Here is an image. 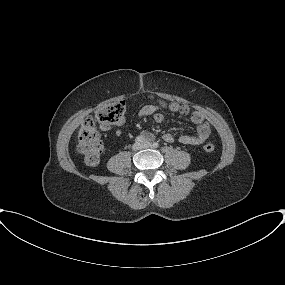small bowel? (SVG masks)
<instances>
[{"instance_id": "1", "label": "small bowel", "mask_w": 285, "mask_h": 285, "mask_svg": "<svg viewBox=\"0 0 285 285\" xmlns=\"http://www.w3.org/2000/svg\"><path fill=\"white\" fill-rule=\"evenodd\" d=\"M139 117H152L156 123H162L165 118V114L162 111L159 105L155 104H147L144 105L139 113ZM197 125V130L195 134H181L179 136H175L172 133H165L163 135V139L166 142L172 143L175 140L179 141L185 145H200L204 143L210 135V125L203 118L200 121H194ZM125 123V117H122L120 121L116 123V135L121 136L122 131L121 127ZM103 130H108L109 126H101ZM141 137L146 140H153L154 136L152 133L148 131H144L141 133Z\"/></svg>"}]
</instances>
